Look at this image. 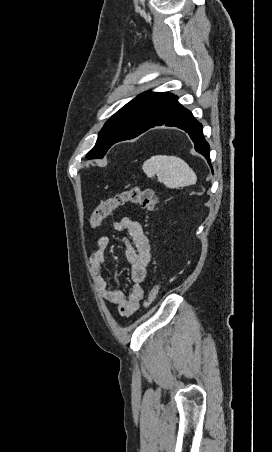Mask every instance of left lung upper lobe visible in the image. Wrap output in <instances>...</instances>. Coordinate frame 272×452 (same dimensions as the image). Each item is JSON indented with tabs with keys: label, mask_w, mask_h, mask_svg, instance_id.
Masks as SVG:
<instances>
[{
	"label": "left lung upper lobe",
	"mask_w": 272,
	"mask_h": 452,
	"mask_svg": "<svg viewBox=\"0 0 272 452\" xmlns=\"http://www.w3.org/2000/svg\"><path fill=\"white\" fill-rule=\"evenodd\" d=\"M173 96L166 92H145L127 103L105 123L86 158H103L116 142L146 131Z\"/></svg>",
	"instance_id": "obj_1"
}]
</instances>
